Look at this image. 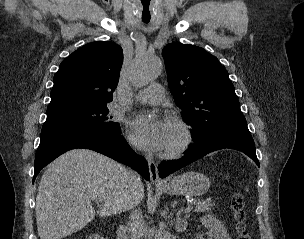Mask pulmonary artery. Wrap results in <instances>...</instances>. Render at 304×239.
<instances>
[{
  "instance_id": "obj_1",
  "label": "pulmonary artery",
  "mask_w": 304,
  "mask_h": 239,
  "mask_svg": "<svg viewBox=\"0 0 304 239\" xmlns=\"http://www.w3.org/2000/svg\"><path fill=\"white\" fill-rule=\"evenodd\" d=\"M164 99V90L160 84H152L135 96L136 101L151 105L161 104Z\"/></svg>"
}]
</instances>
